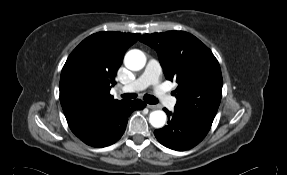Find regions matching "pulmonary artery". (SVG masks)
Here are the masks:
<instances>
[{
    "label": "pulmonary artery",
    "instance_id": "e3ab8cb5",
    "mask_svg": "<svg viewBox=\"0 0 287 175\" xmlns=\"http://www.w3.org/2000/svg\"><path fill=\"white\" fill-rule=\"evenodd\" d=\"M161 67L157 60L150 59L143 73L132 83L121 87L123 92H136L147 88L148 86H156L160 80ZM158 95L161 100L168 106L175 104V99L169 97L162 89L158 90Z\"/></svg>",
    "mask_w": 287,
    "mask_h": 175
}]
</instances>
